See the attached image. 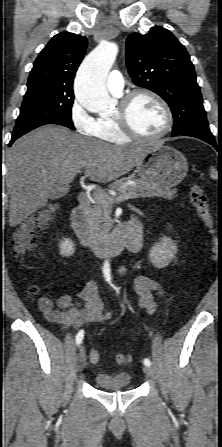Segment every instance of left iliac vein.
<instances>
[{
    "label": "left iliac vein",
    "mask_w": 222,
    "mask_h": 447,
    "mask_svg": "<svg viewBox=\"0 0 222 447\" xmlns=\"http://www.w3.org/2000/svg\"><path fill=\"white\" fill-rule=\"evenodd\" d=\"M143 371H144V373H145L148 377H150V378H152V379L155 378V372H154V370H153L152 367L145 365V366L143 367Z\"/></svg>",
    "instance_id": "obj_1"
}]
</instances>
